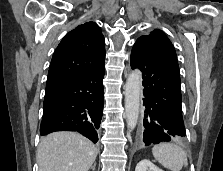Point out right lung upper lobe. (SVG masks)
I'll return each instance as SVG.
<instances>
[{"mask_svg": "<svg viewBox=\"0 0 223 171\" xmlns=\"http://www.w3.org/2000/svg\"><path fill=\"white\" fill-rule=\"evenodd\" d=\"M105 40L99 26L87 22L67 33L55 50L46 87L81 78L104 65Z\"/></svg>", "mask_w": 223, "mask_h": 171, "instance_id": "1", "label": "right lung upper lobe"}]
</instances>
